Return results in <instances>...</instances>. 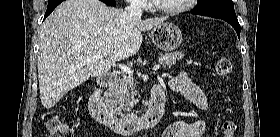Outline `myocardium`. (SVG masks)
Listing matches in <instances>:
<instances>
[{
  "instance_id": "f54148a6",
  "label": "myocardium",
  "mask_w": 280,
  "mask_h": 137,
  "mask_svg": "<svg viewBox=\"0 0 280 137\" xmlns=\"http://www.w3.org/2000/svg\"><path fill=\"white\" fill-rule=\"evenodd\" d=\"M149 2H150L152 9H154L155 11L165 13V14H177V13L187 10L190 2H192V0H182L181 5L176 6V7H171V8H162L158 4H156L154 0H150Z\"/></svg>"
}]
</instances>
